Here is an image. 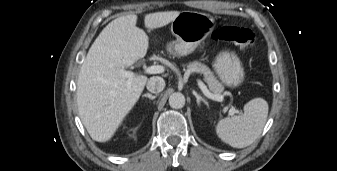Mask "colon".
<instances>
[{
  "label": "colon",
  "instance_id": "5ec220e1",
  "mask_svg": "<svg viewBox=\"0 0 337 171\" xmlns=\"http://www.w3.org/2000/svg\"><path fill=\"white\" fill-rule=\"evenodd\" d=\"M212 38L216 41L235 44L244 51H249L253 45L254 34L248 28L223 26L212 34Z\"/></svg>",
  "mask_w": 337,
  "mask_h": 171
}]
</instances>
